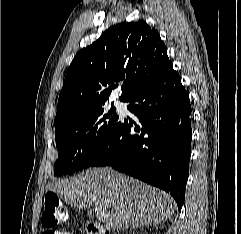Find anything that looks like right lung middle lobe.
Masks as SVG:
<instances>
[{
	"mask_svg": "<svg viewBox=\"0 0 241 234\" xmlns=\"http://www.w3.org/2000/svg\"><path fill=\"white\" fill-rule=\"evenodd\" d=\"M112 105L92 111L79 122L55 131L59 152L54 165V175L61 176L90 167L106 148L120 120Z\"/></svg>",
	"mask_w": 241,
	"mask_h": 234,
	"instance_id": "1",
	"label": "right lung middle lobe"
}]
</instances>
